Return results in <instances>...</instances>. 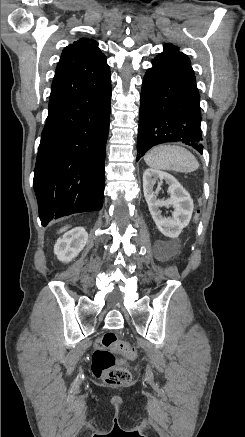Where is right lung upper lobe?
<instances>
[{"label": "right lung upper lobe", "mask_w": 245, "mask_h": 437, "mask_svg": "<svg viewBox=\"0 0 245 437\" xmlns=\"http://www.w3.org/2000/svg\"><path fill=\"white\" fill-rule=\"evenodd\" d=\"M109 77L110 69L97 41L80 38L65 47L61 54L49 103L93 90Z\"/></svg>", "instance_id": "right-lung-upper-lobe-1"}]
</instances>
